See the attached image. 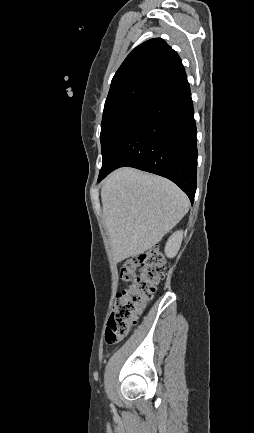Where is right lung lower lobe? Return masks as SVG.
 Segmentation results:
<instances>
[{"instance_id": "obj_1", "label": "right lung lower lobe", "mask_w": 254, "mask_h": 433, "mask_svg": "<svg viewBox=\"0 0 254 433\" xmlns=\"http://www.w3.org/2000/svg\"><path fill=\"white\" fill-rule=\"evenodd\" d=\"M196 124L185 71L161 87L118 136L98 182L129 166L166 177L193 204L197 176Z\"/></svg>"}]
</instances>
